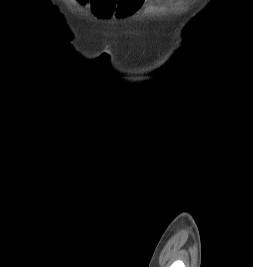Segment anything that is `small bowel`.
I'll use <instances>...</instances> for the list:
<instances>
[{"label":"small bowel","instance_id":"1","mask_svg":"<svg viewBox=\"0 0 253 267\" xmlns=\"http://www.w3.org/2000/svg\"><path fill=\"white\" fill-rule=\"evenodd\" d=\"M81 3H89V6L97 15L103 17L129 15L140 9L149 0H79ZM148 6L146 9L151 10Z\"/></svg>","mask_w":253,"mask_h":267}]
</instances>
